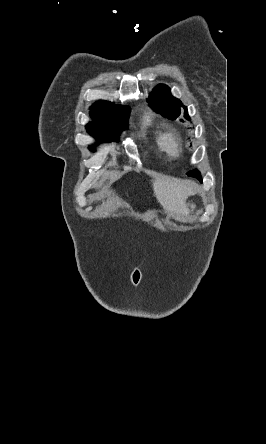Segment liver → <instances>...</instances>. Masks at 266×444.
<instances>
[{"label": "liver", "mask_w": 266, "mask_h": 444, "mask_svg": "<svg viewBox=\"0 0 266 444\" xmlns=\"http://www.w3.org/2000/svg\"><path fill=\"white\" fill-rule=\"evenodd\" d=\"M153 190L158 202L171 214H186V199L194 192L187 181L163 177L153 181Z\"/></svg>", "instance_id": "obj_1"}]
</instances>
